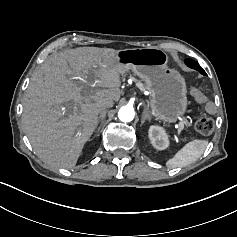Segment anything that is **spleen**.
Segmentation results:
<instances>
[{
  "label": "spleen",
  "instance_id": "3e777b00",
  "mask_svg": "<svg viewBox=\"0 0 237 237\" xmlns=\"http://www.w3.org/2000/svg\"><path fill=\"white\" fill-rule=\"evenodd\" d=\"M208 141L193 140L180 149L173 158L166 162L167 168L185 167L195 162L204 153Z\"/></svg>",
  "mask_w": 237,
  "mask_h": 237
}]
</instances>
